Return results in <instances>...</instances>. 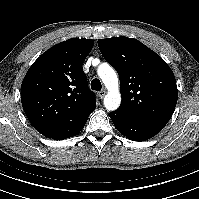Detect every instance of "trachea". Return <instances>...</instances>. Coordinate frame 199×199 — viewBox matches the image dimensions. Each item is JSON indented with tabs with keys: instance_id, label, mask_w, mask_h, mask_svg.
Wrapping results in <instances>:
<instances>
[{
	"instance_id": "3493384b",
	"label": "trachea",
	"mask_w": 199,
	"mask_h": 199,
	"mask_svg": "<svg viewBox=\"0 0 199 199\" xmlns=\"http://www.w3.org/2000/svg\"><path fill=\"white\" fill-rule=\"evenodd\" d=\"M91 89L95 91H100L102 89V85L99 79L95 78L91 81Z\"/></svg>"
}]
</instances>
